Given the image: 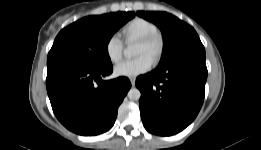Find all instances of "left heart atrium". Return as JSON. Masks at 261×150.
Segmentation results:
<instances>
[{
	"instance_id": "obj_1",
	"label": "left heart atrium",
	"mask_w": 261,
	"mask_h": 150,
	"mask_svg": "<svg viewBox=\"0 0 261 150\" xmlns=\"http://www.w3.org/2000/svg\"><path fill=\"white\" fill-rule=\"evenodd\" d=\"M153 60L148 55H140L131 60H125L115 67V74L122 77L135 78L151 69Z\"/></svg>"
}]
</instances>
